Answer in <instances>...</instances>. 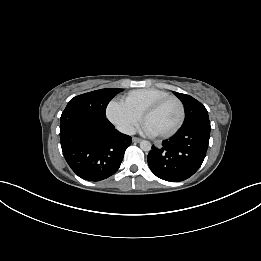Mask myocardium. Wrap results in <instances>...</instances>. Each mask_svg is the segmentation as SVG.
<instances>
[{
  "instance_id": "myocardium-1",
  "label": "myocardium",
  "mask_w": 261,
  "mask_h": 261,
  "mask_svg": "<svg viewBox=\"0 0 261 261\" xmlns=\"http://www.w3.org/2000/svg\"><path fill=\"white\" fill-rule=\"evenodd\" d=\"M168 101H175L178 104L179 109H180V118H179V121L177 122V124L171 130H169L167 132H163V133H156V135L159 137H170L180 130V128L182 127V125L185 121V106H184L183 102L176 96L168 95L166 97H163V98L158 99L155 102L151 103L149 106H147L145 108V110L142 113V120L145 121V118L149 114H151L152 112L157 110L160 106H162L163 104H165Z\"/></svg>"
}]
</instances>
